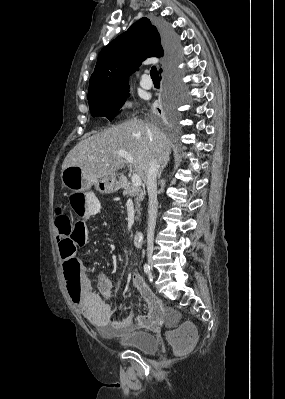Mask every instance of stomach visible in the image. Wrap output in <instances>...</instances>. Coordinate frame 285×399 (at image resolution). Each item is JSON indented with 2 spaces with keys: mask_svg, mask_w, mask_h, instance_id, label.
<instances>
[{
  "mask_svg": "<svg viewBox=\"0 0 285 399\" xmlns=\"http://www.w3.org/2000/svg\"><path fill=\"white\" fill-rule=\"evenodd\" d=\"M61 180L65 187L74 192H86L93 185L100 193H114L120 187L116 175L91 177L78 166H70L62 170Z\"/></svg>",
  "mask_w": 285,
  "mask_h": 399,
  "instance_id": "0dacf381",
  "label": "stomach"
}]
</instances>
